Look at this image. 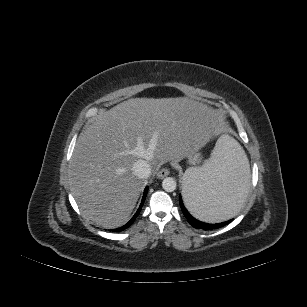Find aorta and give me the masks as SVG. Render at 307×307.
Returning <instances> with one entry per match:
<instances>
[{
	"instance_id": "762f6f07",
	"label": "aorta",
	"mask_w": 307,
	"mask_h": 307,
	"mask_svg": "<svg viewBox=\"0 0 307 307\" xmlns=\"http://www.w3.org/2000/svg\"><path fill=\"white\" fill-rule=\"evenodd\" d=\"M162 187L166 192H173L175 191L177 184L174 178L172 177H166L162 181Z\"/></svg>"
}]
</instances>
